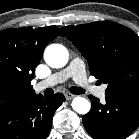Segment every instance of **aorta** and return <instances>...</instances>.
I'll use <instances>...</instances> for the list:
<instances>
[{"instance_id":"762f6f07","label":"aorta","mask_w":139,"mask_h":139,"mask_svg":"<svg viewBox=\"0 0 139 139\" xmlns=\"http://www.w3.org/2000/svg\"><path fill=\"white\" fill-rule=\"evenodd\" d=\"M45 62L52 68L64 67L69 59L66 47L61 44H51L44 51ZM72 108L79 114L85 115L91 109V103L84 97L77 96L72 101Z\"/></svg>"}]
</instances>
